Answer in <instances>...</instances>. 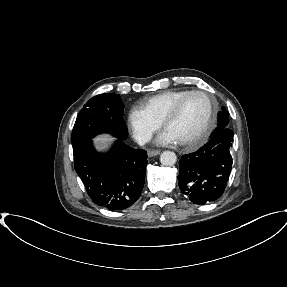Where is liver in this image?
<instances>
[{
    "label": "liver",
    "mask_w": 287,
    "mask_h": 287,
    "mask_svg": "<svg viewBox=\"0 0 287 287\" xmlns=\"http://www.w3.org/2000/svg\"><path fill=\"white\" fill-rule=\"evenodd\" d=\"M114 138L110 135H101L95 138V143L98 144L100 148H104L110 143Z\"/></svg>",
    "instance_id": "obj_1"
}]
</instances>
